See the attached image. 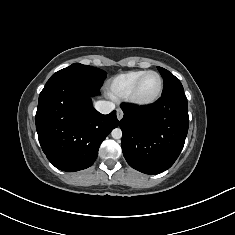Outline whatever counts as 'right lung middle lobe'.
<instances>
[{
    "instance_id": "dd1d6c3e",
    "label": "right lung middle lobe",
    "mask_w": 235,
    "mask_h": 235,
    "mask_svg": "<svg viewBox=\"0 0 235 235\" xmlns=\"http://www.w3.org/2000/svg\"><path fill=\"white\" fill-rule=\"evenodd\" d=\"M105 78L106 72L101 69L74 63L53 74L46 85L59 82H78L95 89H100Z\"/></svg>"
}]
</instances>
